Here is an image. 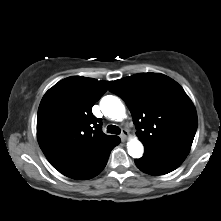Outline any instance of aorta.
I'll list each match as a JSON object with an SVG mask.
<instances>
[{
    "label": "aorta",
    "instance_id": "aorta-1",
    "mask_svg": "<svg viewBox=\"0 0 221 221\" xmlns=\"http://www.w3.org/2000/svg\"><path fill=\"white\" fill-rule=\"evenodd\" d=\"M100 108L104 115L112 120L121 121L125 116V106L116 96L107 95L103 97L100 101ZM127 150L131 157L140 158L143 155L144 147L137 138H133L127 143Z\"/></svg>",
    "mask_w": 221,
    "mask_h": 221
}]
</instances>
